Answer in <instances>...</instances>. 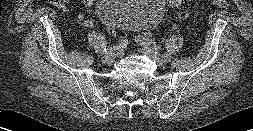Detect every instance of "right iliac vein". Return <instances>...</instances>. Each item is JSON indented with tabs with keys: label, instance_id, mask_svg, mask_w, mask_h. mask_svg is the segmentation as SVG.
<instances>
[{
	"label": "right iliac vein",
	"instance_id": "right-iliac-vein-1",
	"mask_svg": "<svg viewBox=\"0 0 253 131\" xmlns=\"http://www.w3.org/2000/svg\"><path fill=\"white\" fill-rule=\"evenodd\" d=\"M116 54L115 53H109L102 57V62L106 64H112L115 59Z\"/></svg>",
	"mask_w": 253,
	"mask_h": 131
}]
</instances>
